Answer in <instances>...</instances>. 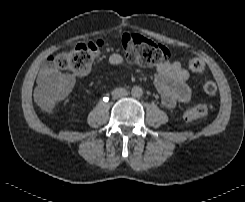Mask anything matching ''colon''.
<instances>
[{"label":"colon","instance_id":"obj_1","mask_svg":"<svg viewBox=\"0 0 245 202\" xmlns=\"http://www.w3.org/2000/svg\"><path fill=\"white\" fill-rule=\"evenodd\" d=\"M104 46L103 40L84 41L57 55L53 62L61 75L52 77L36 94L39 107L44 111H50L63 100L69 91L68 79L84 75ZM121 46L127 61L140 66L160 64L170 58V51L165 45L139 35L124 34L121 38ZM189 67L197 74L205 69L200 59H192ZM203 92L206 95H214L217 92L216 84L211 80L204 82ZM210 111L209 104L199 103L186 108L183 116L188 122L199 121L205 119Z\"/></svg>","mask_w":245,"mask_h":202}]
</instances>
